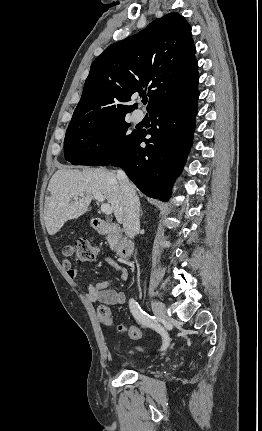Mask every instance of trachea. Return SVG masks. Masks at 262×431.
Returning <instances> with one entry per match:
<instances>
[{"instance_id": "3493384b", "label": "trachea", "mask_w": 262, "mask_h": 431, "mask_svg": "<svg viewBox=\"0 0 262 431\" xmlns=\"http://www.w3.org/2000/svg\"><path fill=\"white\" fill-rule=\"evenodd\" d=\"M148 99L147 98H143L142 103L145 105L147 103Z\"/></svg>"}]
</instances>
